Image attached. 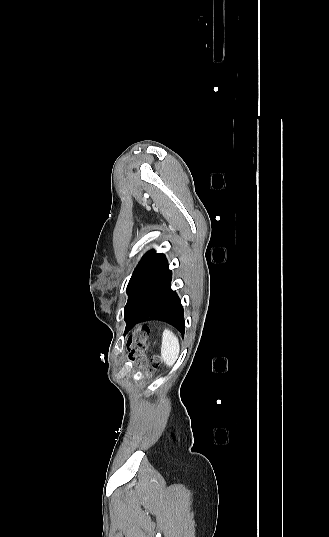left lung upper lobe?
I'll return each mask as SVG.
<instances>
[{
  "mask_svg": "<svg viewBox=\"0 0 329 537\" xmlns=\"http://www.w3.org/2000/svg\"><path fill=\"white\" fill-rule=\"evenodd\" d=\"M168 266L163 254L150 251L135 268L127 286L128 302L125 315L139 302L150 283Z\"/></svg>",
  "mask_w": 329,
  "mask_h": 537,
  "instance_id": "5c2ea615",
  "label": "left lung upper lobe"
}]
</instances>
